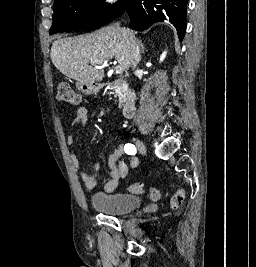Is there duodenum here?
<instances>
[{"instance_id": "obj_1", "label": "duodenum", "mask_w": 256, "mask_h": 267, "mask_svg": "<svg viewBox=\"0 0 256 267\" xmlns=\"http://www.w3.org/2000/svg\"><path fill=\"white\" fill-rule=\"evenodd\" d=\"M111 87L124 90V102L121 108V115L124 118H131L135 113V104L137 101L136 92L130 88L126 79L115 78L112 81H95L91 78H79L75 83L76 90H80V94H98V90L110 89Z\"/></svg>"}]
</instances>
